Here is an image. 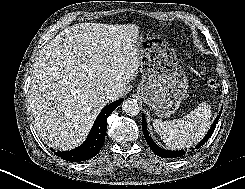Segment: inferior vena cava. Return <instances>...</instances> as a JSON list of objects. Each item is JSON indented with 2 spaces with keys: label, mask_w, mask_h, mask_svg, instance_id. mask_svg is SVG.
<instances>
[{
  "label": "inferior vena cava",
  "mask_w": 245,
  "mask_h": 189,
  "mask_svg": "<svg viewBox=\"0 0 245 189\" xmlns=\"http://www.w3.org/2000/svg\"><path fill=\"white\" fill-rule=\"evenodd\" d=\"M113 93H114V89L106 88L105 92H104V98L107 99V100L111 99Z\"/></svg>",
  "instance_id": "obj_1"
}]
</instances>
